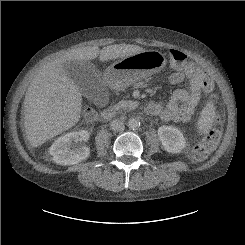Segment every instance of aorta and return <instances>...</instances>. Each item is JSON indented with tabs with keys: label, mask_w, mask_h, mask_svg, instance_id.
<instances>
[{
	"label": "aorta",
	"mask_w": 245,
	"mask_h": 245,
	"mask_svg": "<svg viewBox=\"0 0 245 245\" xmlns=\"http://www.w3.org/2000/svg\"><path fill=\"white\" fill-rule=\"evenodd\" d=\"M128 127L130 129H137L140 127V120L138 118H130L128 120Z\"/></svg>",
	"instance_id": "aorta-1"
}]
</instances>
